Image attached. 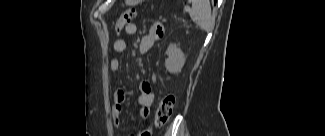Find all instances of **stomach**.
Returning <instances> with one entry per match:
<instances>
[{"mask_svg": "<svg viewBox=\"0 0 325 136\" xmlns=\"http://www.w3.org/2000/svg\"><path fill=\"white\" fill-rule=\"evenodd\" d=\"M126 2L128 4H135V3L139 2V1L138 0H126Z\"/></svg>", "mask_w": 325, "mask_h": 136, "instance_id": "1", "label": "stomach"}]
</instances>
